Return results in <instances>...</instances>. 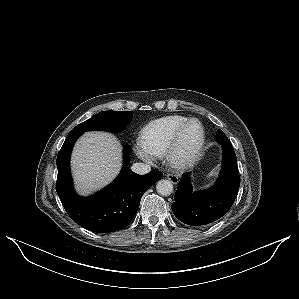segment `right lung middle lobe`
Masks as SVG:
<instances>
[{
	"label": "right lung middle lobe",
	"instance_id": "right-lung-middle-lobe-1",
	"mask_svg": "<svg viewBox=\"0 0 299 299\" xmlns=\"http://www.w3.org/2000/svg\"><path fill=\"white\" fill-rule=\"evenodd\" d=\"M132 111H103L77 125L73 131H109L117 132L128 125L132 119Z\"/></svg>",
	"mask_w": 299,
	"mask_h": 299
}]
</instances>
